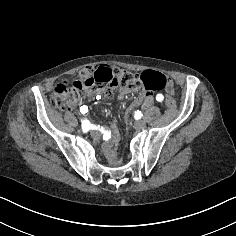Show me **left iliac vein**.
Returning <instances> with one entry per match:
<instances>
[{
  "mask_svg": "<svg viewBox=\"0 0 236 236\" xmlns=\"http://www.w3.org/2000/svg\"><path fill=\"white\" fill-rule=\"evenodd\" d=\"M134 128H135L137 131H142V130L145 128V123H144L142 120H137V121L134 123Z\"/></svg>",
  "mask_w": 236,
  "mask_h": 236,
  "instance_id": "1",
  "label": "left iliac vein"
}]
</instances>
